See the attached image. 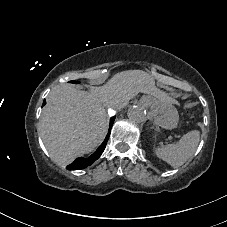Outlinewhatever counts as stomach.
Segmentation results:
<instances>
[{
  "label": "stomach",
  "instance_id": "0dacf381",
  "mask_svg": "<svg viewBox=\"0 0 227 227\" xmlns=\"http://www.w3.org/2000/svg\"><path fill=\"white\" fill-rule=\"evenodd\" d=\"M146 100L150 103L156 125L165 129H173L178 125L179 115L173 105L164 103L155 98H146Z\"/></svg>",
  "mask_w": 227,
  "mask_h": 227
}]
</instances>
